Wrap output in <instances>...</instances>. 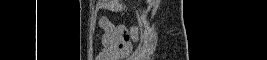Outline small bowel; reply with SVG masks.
<instances>
[{"instance_id":"small-bowel-1","label":"small bowel","mask_w":267,"mask_h":60,"mask_svg":"<svg viewBox=\"0 0 267 60\" xmlns=\"http://www.w3.org/2000/svg\"><path fill=\"white\" fill-rule=\"evenodd\" d=\"M99 25L103 30V50L99 53L98 60H119L125 57L137 40V30L134 27L113 24L108 17H102Z\"/></svg>"}]
</instances>
